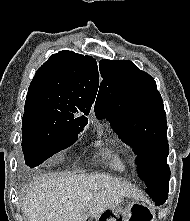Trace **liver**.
I'll return each instance as SVG.
<instances>
[{
    "label": "liver",
    "instance_id": "obj_1",
    "mask_svg": "<svg viewBox=\"0 0 190 221\" xmlns=\"http://www.w3.org/2000/svg\"><path fill=\"white\" fill-rule=\"evenodd\" d=\"M126 196L139 197L130 184L106 174L48 173L27 190L22 212L28 221H86L121 206Z\"/></svg>",
    "mask_w": 190,
    "mask_h": 221
}]
</instances>
